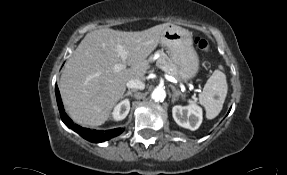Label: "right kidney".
Segmentation results:
<instances>
[{"mask_svg":"<svg viewBox=\"0 0 287 175\" xmlns=\"http://www.w3.org/2000/svg\"><path fill=\"white\" fill-rule=\"evenodd\" d=\"M130 111V101L128 99L121 101L118 103L113 112L112 117L115 121L123 120Z\"/></svg>","mask_w":287,"mask_h":175,"instance_id":"1","label":"right kidney"}]
</instances>
